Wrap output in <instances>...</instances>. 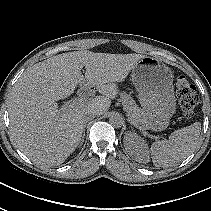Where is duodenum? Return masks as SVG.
Listing matches in <instances>:
<instances>
[{
    "label": "duodenum",
    "mask_w": 211,
    "mask_h": 211,
    "mask_svg": "<svg viewBox=\"0 0 211 211\" xmlns=\"http://www.w3.org/2000/svg\"><path fill=\"white\" fill-rule=\"evenodd\" d=\"M89 94V89L86 87H83L79 90V95L82 97H86Z\"/></svg>",
    "instance_id": "duodenum-1"
}]
</instances>
